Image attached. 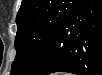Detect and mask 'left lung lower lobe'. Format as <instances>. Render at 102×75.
Wrapping results in <instances>:
<instances>
[{
	"label": "left lung lower lobe",
	"instance_id": "left-lung-lower-lobe-1",
	"mask_svg": "<svg viewBox=\"0 0 102 75\" xmlns=\"http://www.w3.org/2000/svg\"><path fill=\"white\" fill-rule=\"evenodd\" d=\"M102 75V1L83 0L45 43L29 75Z\"/></svg>",
	"mask_w": 102,
	"mask_h": 75
}]
</instances>
